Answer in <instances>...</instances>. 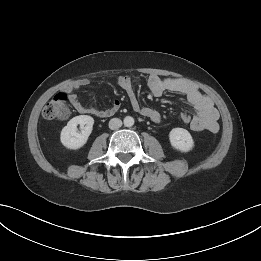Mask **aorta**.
Wrapping results in <instances>:
<instances>
[{
	"mask_svg": "<svg viewBox=\"0 0 261 261\" xmlns=\"http://www.w3.org/2000/svg\"><path fill=\"white\" fill-rule=\"evenodd\" d=\"M123 122L126 127H132L134 125V118L131 116H126Z\"/></svg>",
	"mask_w": 261,
	"mask_h": 261,
	"instance_id": "aorta-1",
	"label": "aorta"
}]
</instances>
